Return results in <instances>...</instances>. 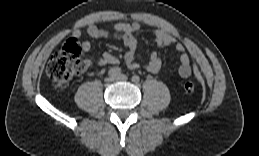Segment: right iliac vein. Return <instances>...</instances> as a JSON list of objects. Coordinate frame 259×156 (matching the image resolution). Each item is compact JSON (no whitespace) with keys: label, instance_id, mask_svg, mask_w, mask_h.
Here are the masks:
<instances>
[{"label":"right iliac vein","instance_id":"63e3f726","mask_svg":"<svg viewBox=\"0 0 259 156\" xmlns=\"http://www.w3.org/2000/svg\"><path fill=\"white\" fill-rule=\"evenodd\" d=\"M114 80H115L114 77H108V78L105 79L106 83H111V82H113Z\"/></svg>","mask_w":259,"mask_h":156}]
</instances>
